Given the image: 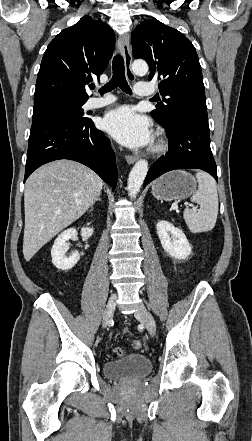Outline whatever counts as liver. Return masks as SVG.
<instances>
[{
	"label": "liver",
	"mask_w": 252,
	"mask_h": 441,
	"mask_svg": "<svg viewBox=\"0 0 252 441\" xmlns=\"http://www.w3.org/2000/svg\"><path fill=\"white\" fill-rule=\"evenodd\" d=\"M102 187L103 181L94 171L71 160L53 161L34 171L24 191L25 260L83 216Z\"/></svg>",
	"instance_id": "obj_1"
}]
</instances>
